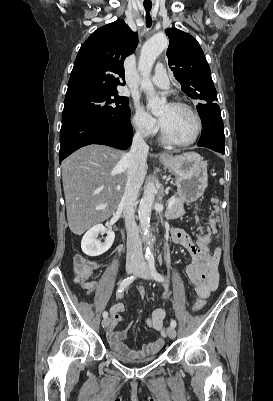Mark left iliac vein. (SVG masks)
I'll use <instances>...</instances> for the list:
<instances>
[{"label":"left iliac vein","mask_w":273,"mask_h":401,"mask_svg":"<svg viewBox=\"0 0 273 401\" xmlns=\"http://www.w3.org/2000/svg\"><path fill=\"white\" fill-rule=\"evenodd\" d=\"M136 273L144 279H151L150 270L145 262H141L139 264V269ZM167 335L171 339H174L176 337V331H175L174 327L169 326L167 328Z\"/></svg>","instance_id":"4c4485c4"}]
</instances>
